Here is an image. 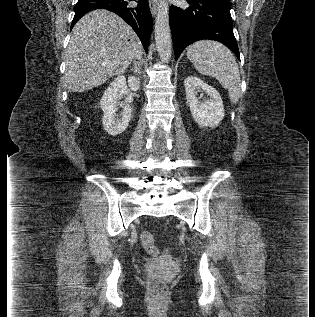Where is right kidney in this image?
<instances>
[{
    "label": "right kidney",
    "instance_id": "right-kidney-1",
    "mask_svg": "<svg viewBox=\"0 0 315 317\" xmlns=\"http://www.w3.org/2000/svg\"><path fill=\"white\" fill-rule=\"evenodd\" d=\"M127 83L132 91H137L140 88V81L135 77L130 76L126 81V78L120 75L110 83L100 101V106L103 111V127L111 136H116L124 132L131 119L130 105L128 103L120 104L118 102V100L128 92ZM119 105L122 108L120 113L121 118H118L116 115Z\"/></svg>",
    "mask_w": 315,
    "mask_h": 317
}]
</instances>
